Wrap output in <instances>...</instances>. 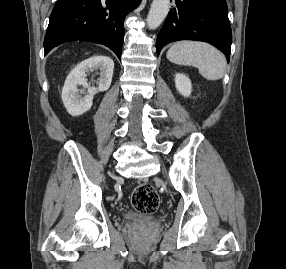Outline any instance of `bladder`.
Listing matches in <instances>:
<instances>
[{
	"label": "bladder",
	"instance_id": "bladder-1",
	"mask_svg": "<svg viewBox=\"0 0 286 269\" xmlns=\"http://www.w3.org/2000/svg\"><path fill=\"white\" fill-rule=\"evenodd\" d=\"M125 219L129 221H149L152 219V216L149 214L135 212L133 210H128L125 213Z\"/></svg>",
	"mask_w": 286,
	"mask_h": 269
}]
</instances>
